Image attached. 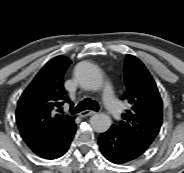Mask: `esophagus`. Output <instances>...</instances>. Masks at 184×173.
<instances>
[{
    "label": "esophagus",
    "instance_id": "34e87169",
    "mask_svg": "<svg viewBox=\"0 0 184 173\" xmlns=\"http://www.w3.org/2000/svg\"><path fill=\"white\" fill-rule=\"evenodd\" d=\"M94 114H96L95 111H92V110H84L79 115H80V117L84 118V117L91 116V115H94Z\"/></svg>",
    "mask_w": 184,
    "mask_h": 173
}]
</instances>
